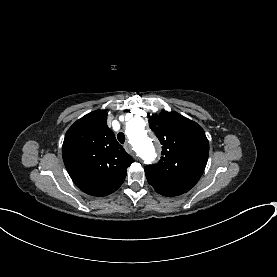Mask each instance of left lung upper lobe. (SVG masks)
<instances>
[{"label": "left lung upper lobe", "mask_w": 277, "mask_h": 277, "mask_svg": "<svg viewBox=\"0 0 277 277\" xmlns=\"http://www.w3.org/2000/svg\"><path fill=\"white\" fill-rule=\"evenodd\" d=\"M149 126L163 146L159 163L145 166L148 183L167 197L186 193L198 182L208 160L204 130L194 121L167 111L150 116Z\"/></svg>", "instance_id": "left-lung-upper-lobe-1"}]
</instances>
